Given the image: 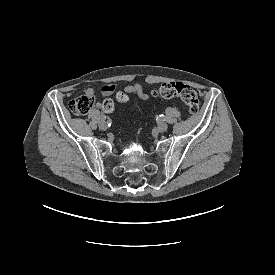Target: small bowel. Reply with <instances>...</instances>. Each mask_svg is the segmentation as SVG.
Returning <instances> with one entry per match:
<instances>
[{
    "mask_svg": "<svg viewBox=\"0 0 275 275\" xmlns=\"http://www.w3.org/2000/svg\"><path fill=\"white\" fill-rule=\"evenodd\" d=\"M115 89H116V85L114 83H107V84L103 85V87L101 89V94L103 97L109 96L115 91ZM123 92L126 94H133L135 97L142 99V100L150 99V95L144 91L142 85L139 83H133V84L126 85L123 88ZM85 93H86V95L93 96L94 90L92 88H88V89H86ZM101 106L102 105L100 102L96 103L97 108H101Z\"/></svg>",
    "mask_w": 275,
    "mask_h": 275,
    "instance_id": "c3829d8e",
    "label": "small bowel"
}]
</instances>
